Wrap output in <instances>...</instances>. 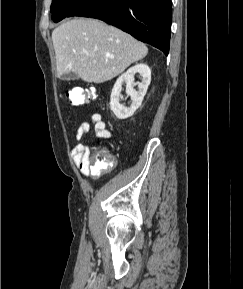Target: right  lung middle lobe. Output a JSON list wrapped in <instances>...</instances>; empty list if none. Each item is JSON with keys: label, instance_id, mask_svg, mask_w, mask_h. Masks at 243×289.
I'll list each match as a JSON object with an SVG mask.
<instances>
[{"label": "right lung middle lobe", "instance_id": "1", "mask_svg": "<svg viewBox=\"0 0 243 289\" xmlns=\"http://www.w3.org/2000/svg\"><path fill=\"white\" fill-rule=\"evenodd\" d=\"M85 0H53L50 12L53 21L59 22L77 9Z\"/></svg>", "mask_w": 243, "mask_h": 289}]
</instances>
